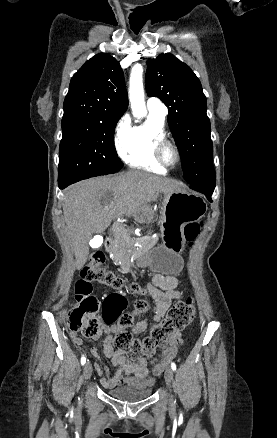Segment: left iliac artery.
I'll list each match as a JSON object with an SVG mask.
<instances>
[{"mask_svg":"<svg viewBox=\"0 0 277 438\" xmlns=\"http://www.w3.org/2000/svg\"><path fill=\"white\" fill-rule=\"evenodd\" d=\"M171 368L173 369V371L176 370V364L174 362L171 363Z\"/></svg>","mask_w":277,"mask_h":438,"instance_id":"obj_1","label":"left iliac artery"}]
</instances>
